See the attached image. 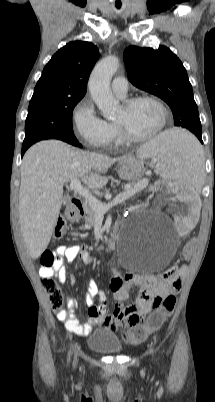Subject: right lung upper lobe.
Listing matches in <instances>:
<instances>
[{"mask_svg": "<svg viewBox=\"0 0 215 402\" xmlns=\"http://www.w3.org/2000/svg\"><path fill=\"white\" fill-rule=\"evenodd\" d=\"M99 58L90 42L73 41L58 50L43 69L33 96L52 95L83 98L90 72Z\"/></svg>", "mask_w": 215, "mask_h": 402, "instance_id": "1", "label": "right lung upper lobe"}]
</instances>
